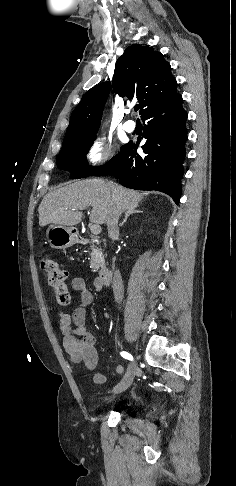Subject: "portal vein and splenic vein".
I'll return each instance as SVG.
<instances>
[{
	"mask_svg": "<svg viewBox=\"0 0 236 486\" xmlns=\"http://www.w3.org/2000/svg\"><path fill=\"white\" fill-rule=\"evenodd\" d=\"M91 233L94 235H98L101 233V226L99 224H93L90 227Z\"/></svg>",
	"mask_w": 236,
	"mask_h": 486,
	"instance_id": "18ae733b",
	"label": "portal vein and splenic vein"
}]
</instances>
